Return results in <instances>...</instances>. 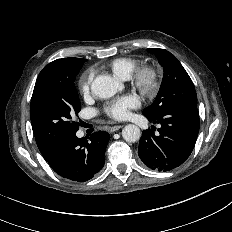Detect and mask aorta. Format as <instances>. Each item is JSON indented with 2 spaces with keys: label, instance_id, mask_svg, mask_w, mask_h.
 Instances as JSON below:
<instances>
[{
  "label": "aorta",
  "instance_id": "1",
  "mask_svg": "<svg viewBox=\"0 0 232 232\" xmlns=\"http://www.w3.org/2000/svg\"><path fill=\"white\" fill-rule=\"evenodd\" d=\"M121 85L111 76L100 75L91 84V90L99 98H109L114 96ZM139 127L133 124L126 125L122 130V137L127 142H136L140 139Z\"/></svg>",
  "mask_w": 232,
  "mask_h": 232
}]
</instances>
